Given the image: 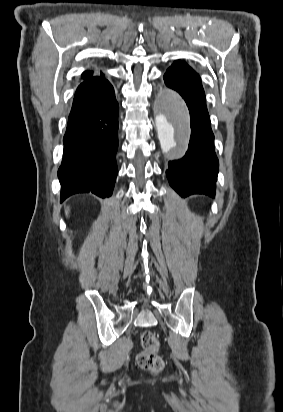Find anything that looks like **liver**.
Returning <instances> with one entry per match:
<instances>
[{"label": "liver", "mask_w": 283, "mask_h": 412, "mask_svg": "<svg viewBox=\"0 0 283 412\" xmlns=\"http://www.w3.org/2000/svg\"><path fill=\"white\" fill-rule=\"evenodd\" d=\"M68 214V210H66V215Z\"/></svg>", "instance_id": "obj_1"}]
</instances>
